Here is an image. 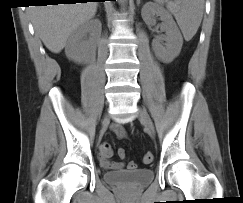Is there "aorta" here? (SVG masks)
<instances>
[{"instance_id": "obj_1", "label": "aorta", "mask_w": 243, "mask_h": 203, "mask_svg": "<svg viewBox=\"0 0 243 203\" xmlns=\"http://www.w3.org/2000/svg\"><path fill=\"white\" fill-rule=\"evenodd\" d=\"M120 2H121L122 4H124V3L126 2V0H120Z\"/></svg>"}]
</instances>
